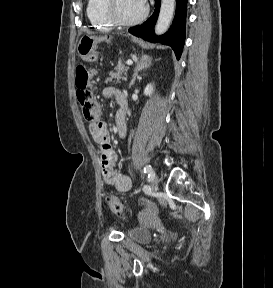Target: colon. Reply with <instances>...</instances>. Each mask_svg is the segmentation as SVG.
Returning <instances> with one entry per match:
<instances>
[{
	"label": "colon",
	"instance_id": "5ec220e1",
	"mask_svg": "<svg viewBox=\"0 0 273 288\" xmlns=\"http://www.w3.org/2000/svg\"><path fill=\"white\" fill-rule=\"evenodd\" d=\"M78 55L85 62H92L96 59L94 42L89 37H83L78 44ZM91 72L84 66H78L75 70L76 97L80 105L84 119L90 123L97 122L100 117V109L94 100L93 93L90 89ZM107 205L110 211L117 215L123 216L124 210L122 203L115 195L106 197Z\"/></svg>",
	"mask_w": 273,
	"mask_h": 288
}]
</instances>
